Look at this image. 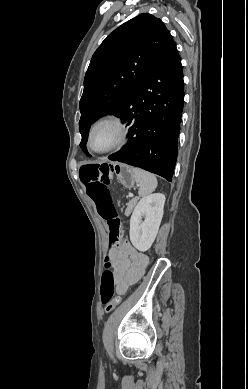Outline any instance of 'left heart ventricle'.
I'll list each match as a JSON object with an SVG mask.
<instances>
[{
    "mask_svg": "<svg viewBox=\"0 0 248 389\" xmlns=\"http://www.w3.org/2000/svg\"><path fill=\"white\" fill-rule=\"evenodd\" d=\"M114 136L115 132L111 126H102L96 132L94 146L96 148H104L111 143Z\"/></svg>",
    "mask_w": 248,
    "mask_h": 389,
    "instance_id": "left-heart-ventricle-1",
    "label": "left heart ventricle"
}]
</instances>
